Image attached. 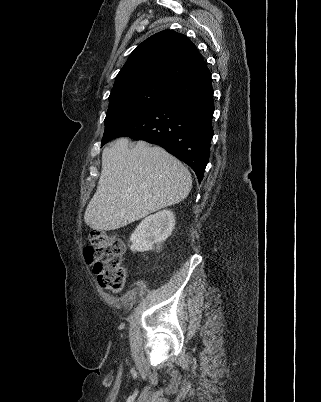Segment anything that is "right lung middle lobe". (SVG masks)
I'll return each mask as SVG.
<instances>
[{
    "mask_svg": "<svg viewBox=\"0 0 321 402\" xmlns=\"http://www.w3.org/2000/svg\"><path fill=\"white\" fill-rule=\"evenodd\" d=\"M170 88L160 83H148L110 94L101 145L163 101Z\"/></svg>",
    "mask_w": 321,
    "mask_h": 402,
    "instance_id": "1",
    "label": "right lung middle lobe"
}]
</instances>
